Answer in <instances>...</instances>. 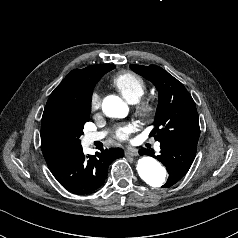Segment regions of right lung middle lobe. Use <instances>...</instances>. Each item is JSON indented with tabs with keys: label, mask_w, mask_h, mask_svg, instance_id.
<instances>
[{
	"label": "right lung middle lobe",
	"mask_w": 238,
	"mask_h": 238,
	"mask_svg": "<svg viewBox=\"0 0 238 238\" xmlns=\"http://www.w3.org/2000/svg\"><path fill=\"white\" fill-rule=\"evenodd\" d=\"M112 69H114V65L111 64L99 69L92 80L80 84V91L90 94L98 80ZM89 115V113H80L77 110L71 111L66 115L61 116L58 119L57 124L62 132L79 140L80 136L83 134L84 124L89 120Z\"/></svg>",
	"instance_id": "right-lung-middle-lobe-1"
}]
</instances>
